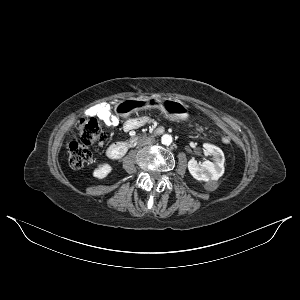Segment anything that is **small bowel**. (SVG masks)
Returning <instances> with one entry per match:
<instances>
[{
    "label": "small bowel",
    "mask_w": 300,
    "mask_h": 300,
    "mask_svg": "<svg viewBox=\"0 0 300 300\" xmlns=\"http://www.w3.org/2000/svg\"><path fill=\"white\" fill-rule=\"evenodd\" d=\"M87 115L97 116V117L103 118L105 120H108V111L100 105H94V106H91L90 108H88ZM144 122H145V120H143V119H131L126 123V128L127 129L138 128V127L142 126L144 124ZM225 140L227 141V138H225Z\"/></svg>",
    "instance_id": "small-bowel-1"
}]
</instances>
